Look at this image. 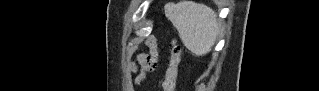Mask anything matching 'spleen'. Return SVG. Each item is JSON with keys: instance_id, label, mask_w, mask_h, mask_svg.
Instances as JSON below:
<instances>
[{"instance_id": "1", "label": "spleen", "mask_w": 319, "mask_h": 91, "mask_svg": "<svg viewBox=\"0 0 319 91\" xmlns=\"http://www.w3.org/2000/svg\"><path fill=\"white\" fill-rule=\"evenodd\" d=\"M165 16L177 29L188 50L196 56L211 51L221 29L217 15L204 4L183 0L165 5Z\"/></svg>"}]
</instances>
